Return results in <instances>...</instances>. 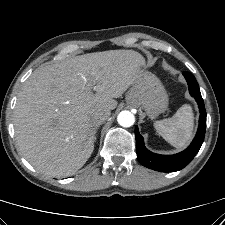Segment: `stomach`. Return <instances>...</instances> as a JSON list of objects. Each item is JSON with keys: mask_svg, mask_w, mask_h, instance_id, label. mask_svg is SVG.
<instances>
[{"mask_svg": "<svg viewBox=\"0 0 225 225\" xmlns=\"http://www.w3.org/2000/svg\"><path fill=\"white\" fill-rule=\"evenodd\" d=\"M127 103L140 105L150 118H155L168 107V95L160 80L152 73L140 71L127 97Z\"/></svg>", "mask_w": 225, "mask_h": 225, "instance_id": "obj_1", "label": "stomach"}]
</instances>
